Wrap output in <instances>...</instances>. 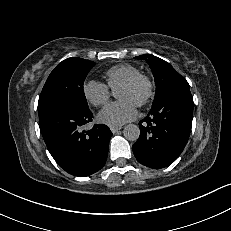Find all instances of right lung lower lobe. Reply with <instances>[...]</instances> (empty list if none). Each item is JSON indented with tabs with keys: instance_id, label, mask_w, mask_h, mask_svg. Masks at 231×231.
Instances as JSON below:
<instances>
[{
	"instance_id": "1",
	"label": "right lung lower lobe",
	"mask_w": 231,
	"mask_h": 231,
	"mask_svg": "<svg viewBox=\"0 0 231 231\" xmlns=\"http://www.w3.org/2000/svg\"><path fill=\"white\" fill-rule=\"evenodd\" d=\"M92 117L89 108L63 107L39 118L49 152L71 175L89 176L105 165L112 132L103 124L83 130Z\"/></svg>"
}]
</instances>
